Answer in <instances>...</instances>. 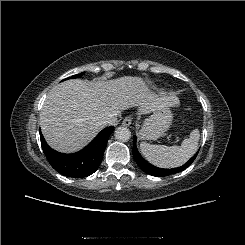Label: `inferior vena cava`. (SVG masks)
Instances as JSON below:
<instances>
[{"mask_svg":"<svg viewBox=\"0 0 245 245\" xmlns=\"http://www.w3.org/2000/svg\"><path fill=\"white\" fill-rule=\"evenodd\" d=\"M118 115L110 116L109 118H107V120H105L104 124L105 125H112V126L117 125V123H118V118H117Z\"/></svg>","mask_w":245,"mask_h":245,"instance_id":"obj_1","label":"inferior vena cava"}]
</instances>
